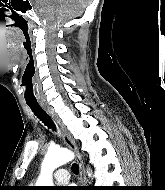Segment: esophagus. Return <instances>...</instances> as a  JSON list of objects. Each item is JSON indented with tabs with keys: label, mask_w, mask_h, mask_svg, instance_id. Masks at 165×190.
<instances>
[{
	"label": "esophagus",
	"mask_w": 165,
	"mask_h": 190,
	"mask_svg": "<svg viewBox=\"0 0 165 190\" xmlns=\"http://www.w3.org/2000/svg\"><path fill=\"white\" fill-rule=\"evenodd\" d=\"M43 109L51 116L53 121L55 122L57 129L59 131V134L64 141V143L73 151L75 154L76 160L79 165V183L81 186H84L86 184V178L84 174V166H83V160L81 158V155L78 151L77 145L69 131L66 129V127L61 123L58 116L46 105L42 104Z\"/></svg>",
	"instance_id": "1"
}]
</instances>
